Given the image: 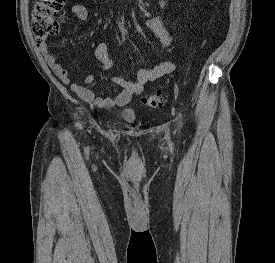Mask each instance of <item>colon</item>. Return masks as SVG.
Here are the masks:
<instances>
[{
    "mask_svg": "<svg viewBox=\"0 0 275 263\" xmlns=\"http://www.w3.org/2000/svg\"><path fill=\"white\" fill-rule=\"evenodd\" d=\"M66 0H35L31 11L32 33L37 43H43L59 29L58 13ZM142 102L145 106L156 108L167 102L162 93L147 94Z\"/></svg>",
    "mask_w": 275,
    "mask_h": 263,
    "instance_id": "obj_1",
    "label": "colon"
}]
</instances>
